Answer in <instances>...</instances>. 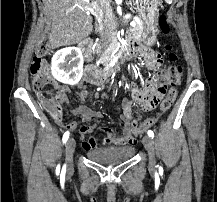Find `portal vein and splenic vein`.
Returning a JSON list of instances; mask_svg holds the SVG:
<instances>
[{"label": "portal vein and splenic vein", "mask_w": 217, "mask_h": 202, "mask_svg": "<svg viewBox=\"0 0 217 202\" xmlns=\"http://www.w3.org/2000/svg\"><path fill=\"white\" fill-rule=\"evenodd\" d=\"M88 10H91V8H88ZM130 26H133L134 28V26H136V22H130Z\"/></svg>", "instance_id": "obj_1"}]
</instances>
